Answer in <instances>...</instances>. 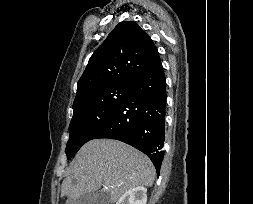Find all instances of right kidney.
Segmentation results:
<instances>
[{"mask_svg": "<svg viewBox=\"0 0 253 204\" xmlns=\"http://www.w3.org/2000/svg\"><path fill=\"white\" fill-rule=\"evenodd\" d=\"M147 189L143 186L132 188L125 192L116 204H146Z\"/></svg>", "mask_w": 253, "mask_h": 204, "instance_id": "1", "label": "right kidney"}]
</instances>
